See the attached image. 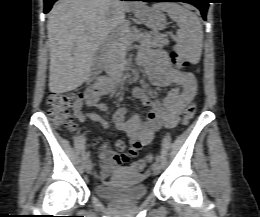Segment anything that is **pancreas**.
<instances>
[{
  "label": "pancreas",
  "instance_id": "pancreas-1",
  "mask_svg": "<svg viewBox=\"0 0 260 217\" xmlns=\"http://www.w3.org/2000/svg\"><path fill=\"white\" fill-rule=\"evenodd\" d=\"M133 40H138L146 47H163L168 44V40L157 32L139 33L121 26L106 42L104 68L115 66L124 59Z\"/></svg>",
  "mask_w": 260,
  "mask_h": 217
}]
</instances>
